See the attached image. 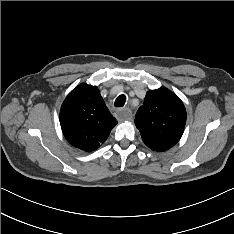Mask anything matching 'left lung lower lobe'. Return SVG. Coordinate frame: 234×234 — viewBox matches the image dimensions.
I'll return each instance as SVG.
<instances>
[{
  "label": "left lung lower lobe",
  "mask_w": 234,
  "mask_h": 234,
  "mask_svg": "<svg viewBox=\"0 0 234 234\" xmlns=\"http://www.w3.org/2000/svg\"><path fill=\"white\" fill-rule=\"evenodd\" d=\"M173 145H175L173 142L161 140V141H158L157 143L152 144L148 147H150L154 151L163 152V151L170 149Z\"/></svg>",
  "instance_id": "0a47b994"
}]
</instances>
